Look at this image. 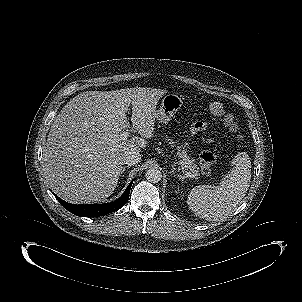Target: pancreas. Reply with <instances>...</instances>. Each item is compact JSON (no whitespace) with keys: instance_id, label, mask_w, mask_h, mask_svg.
I'll return each mask as SVG.
<instances>
[{"instance_id":"pancreas-1","label":"pancreas","mask_w":302,"mask_h":302,"mask_svg":"<svg viewBox=\"0 0 302 302\" xmlns=\"http://www.w3.org/2000/svg\"><path fill=\"white\" fill-rule=\"evenodd\" d=\"M177 156L179 158L178 165L182 170L191 171L195 177L199 176V167L195 163V159L190 157L183 147H178Z\"/></svg>"}]
</instances>
